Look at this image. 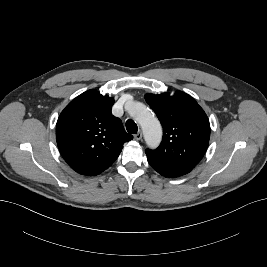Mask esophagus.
I'll return each mask as SVG.
<instances>
[{
    "label": "esophagus",
    "mask_w": 267,
    "mask_h": 267,
    "mask_svg": "<svg viewBox=\"0 0 267 267\" xmlns=\"http://www.w3.org/2000/svg\"><path fill=\"white\" fill-rule=\"evenodd\" d=\"M134 138H135L136 140H141V139H142V132L139 131L138 133H136V134L134 135Z\"/></svg>",
    "instance_id": "esophagus-1"
}]
</instances>
